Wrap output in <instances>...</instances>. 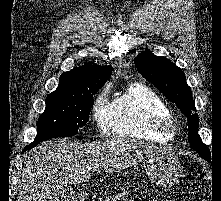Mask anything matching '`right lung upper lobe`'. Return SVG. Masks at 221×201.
<instances>
[{
  "label": "right lung upper lobe",
  "mask_w": 221,
  "mask_h": 201,
  "mask_svg": "<svg viewBox=\"0 0 221 201\" xmlns=\"http://www.w3.org/2000/svg\"><path fill=\"white\" fill-rule=\"evenodd\" d=\"M111 66L84 65L60 76V82L53 93L83 96L97 92L110 78Z\"/></svg>",
  "instance_id": "right-lung-upper-lobe-1"
}]
</instances>
